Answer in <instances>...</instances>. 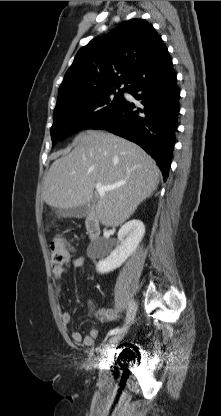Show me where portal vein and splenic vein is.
<instances>
[{
    "label": "portal vein and splenic vein",
    "instance_id": "18ae733b",
    "mask_svg": "<svg viewBox=\"0 0 221 416\" xmlns=\"http://www.w3.org/2000/svg\"><path fill=\"white\" fill-rule=\"evenodd\" d=\"M122 184L123 183L105 186V185H102L101 183H97L96 184V190H97L98 194L101 195V194H104L106 191H110L112 189H115V188L121 186Z\"/></svg>",
    "mask_w": 221,
    "mask_h": 416
}]
</instances>
